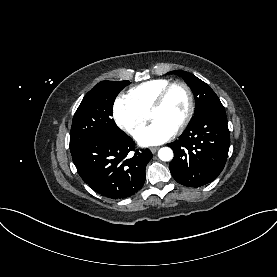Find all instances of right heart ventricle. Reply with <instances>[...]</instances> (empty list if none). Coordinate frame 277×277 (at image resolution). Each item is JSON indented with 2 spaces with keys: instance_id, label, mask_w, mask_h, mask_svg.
Here are the masks:
<instances>
[{
  "instance_id": "1",
  "label": "right heart ventricle",
  "mask_w": 277,
  "mask_h": 277,
  "mask_svg": "<svg viewBox=\"0 0 277 277\" xmlns=\"http://www.w3.org/2000/svg\"><path fill=\"white\" fill-rule=\"evenodd\" d=\"M171 83L168 79H153L132 87L128 92V97L143 113L149 112L150 107L159 93Z\"/></svg>"
}]
</instances>
